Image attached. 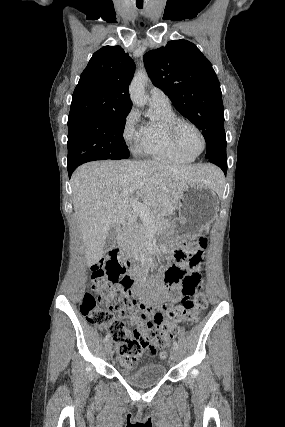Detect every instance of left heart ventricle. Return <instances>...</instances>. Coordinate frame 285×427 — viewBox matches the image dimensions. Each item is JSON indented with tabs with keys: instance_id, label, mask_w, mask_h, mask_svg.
Listing matches in <instances>:
<instances>
[{
	"instance_id": "left-heart-ventricle-1",
	"label": "left heart ventricle",
	"mask_w": 285,
	"mask_h": 427,
	"mask_svg": "<svg viewBox=\"0 0 285 427\" xmlns=\"http://www.w3.org/2000/svg\"><path fill=\"white\" fill-rule=\"evenodd\" d=\"M178 139L183 148L191 154L198 153L202 148L199 135L190 126L183 125L179 128Z\"/></svg>"
}]
</instances>
